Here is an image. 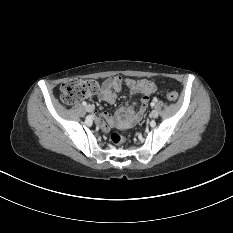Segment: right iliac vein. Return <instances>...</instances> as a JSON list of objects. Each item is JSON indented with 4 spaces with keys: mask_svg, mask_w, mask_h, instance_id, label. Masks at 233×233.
<instances>
[{
    "mask_svg": "<svg viewBox=\"0 0 233 233\" xmlns=\"http://www.w3.org/2000/svg\"><path fill=\"white\" fill-rule=\"evenodd\" d=\"M85 109L87 112H92L94 110V107L92 105H87Z\"/></svg>",
    "mask_w": 233,
    "mask_h": 233,
    "instance_id": "right-iliac-vein-1",
    "label": "right iliac vein"
}]
</instances>
